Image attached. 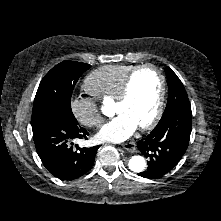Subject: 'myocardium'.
Returning a JSON list of instances; mask_svg holds the SVG:
<instances>
[{"mask_svg": "<svg viewBox=\"0 0 221 221\" xmlns=\"http://www.w3.org/2000/svg\"><path fill=\"white\" fill-rule=\"evenodd\" d=\"M147 69L154 70L158 74V76L160 78L161 85H160V94H159V98H158V102H157L156 111L150 121L138 126L139 129H141V130H148V129L153 128L159 122V120L163 114L165 98H166V89H167V80H166V76L164 75L163 71L159 67H157L156 65H153V64H144L141 66H137L135 69H133L128 74V76L126 77V79L123 83V86H122V89H121L119 95L115 99V104L124 103L130 96L132 83H133V80L136 77V75L138 73H140L141 71H144Z\"/></svg>", "mask_w": 221, "mask_h": 221, "instance_id": "1", "label": "myocardium"}]
</instances>
